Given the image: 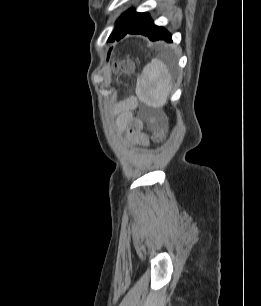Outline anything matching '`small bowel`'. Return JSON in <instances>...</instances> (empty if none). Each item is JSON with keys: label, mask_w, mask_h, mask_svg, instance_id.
I'll return each mask as SVG.
<instances>
[{"label": "small bowel", "mask_w": 261, "mask_h": 306, "mask_svg": "<svg viewBox=\"0 0 261 306\" xmlns=\"http://www.w3.org/2000/svg\"><path fill=\"white\" fill-rule=\"evenodd\" d=\"M137 102L129 99L120 104L118 109L119 124L127 130V140L136 145H146L148 142L147 135L142 131V123L132 115V110L136 107Z\"/></svg>", "instance_id": "c3829d8e"}]
</instances>
